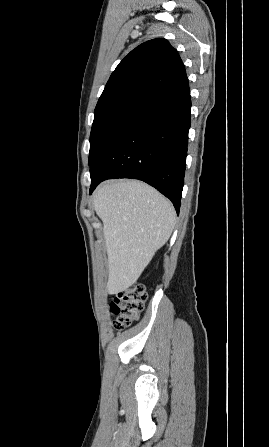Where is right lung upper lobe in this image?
<instances>
[{"mask_svg": "<svg viewBox=\"0 0 269 447\" xmlns=\"http://www.w3.org/2000/svg\"><path fill=\"white\" fill-rule=\"evenodd\" d=\"M185 77L182 60L166 39L147 41L116 67L96 105L95 117L120 107H143Z\"/></svg>", "mask_w": 269, "mask_h": 447, "instance_id": "1", "label": "right lung upper lobe"}]
</instances>
